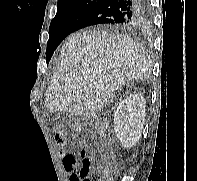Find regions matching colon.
<instances>
[{
    "label": "colon",
    "mask_w": 197,
    "mask_h": 181,
    "mask_svg": "<svg viewBox=\"0 0 197 181\" xmlns=\"http://www.w3.org/2000/svg\"><path fill=\"white\" fill-rule=\"evenodd\" d=\"M84 132L89 137L97 136L95 125L84 127ZM56 138L63 140L62 132L56 133ZM82 168L78 181H112L116 173V162L111 152H99L90 154L88 151L81 153Z\"/></svg>",
    "instance_id": "obj_1"
}]
</instances>
